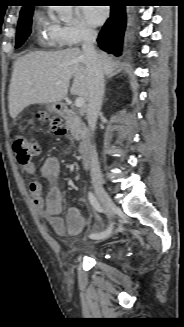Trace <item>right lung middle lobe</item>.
<instances>
[{
  "mask_svg": "<svg viewBox=\"0 0 184 327\" xmlns=\"http://www.w3.org/2000/svg\"><path fill=\"white\" fill-rule=\"evenodd\" d=\"M33 8L20 13L15 48L20 47L31 33Z\"/></svg>",
  "mask_w": 184,
  "mask_h": 327,
  "instance_id": "1",
  "label": "right lung middle lobe"
}]
</instances>
